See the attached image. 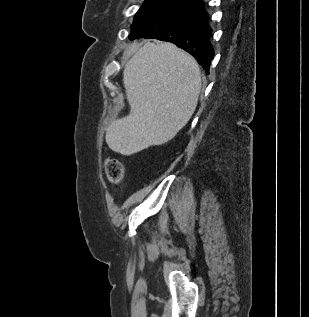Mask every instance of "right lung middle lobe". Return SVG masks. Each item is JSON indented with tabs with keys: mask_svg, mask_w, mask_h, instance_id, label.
I'll return each mask as SVG.
<instances>
[{
	"mask_svg": "<svg viewBox=\"0 0 309 317\" xmlns=\"http://www.w3.org/2000/svg\"><path fill=\"white\" fill-rule=\"evenodd\" d=\"M176 1L177 0H146L144 5L136 13L133 24L137 23L140 19L152 13L153 11H156Z\"/></svg>",
	"mask_w": 309,
	"mask_h": 317,
	"instance_id": "1",
	"label": "right lung middle lobe"
}]
</instances>
